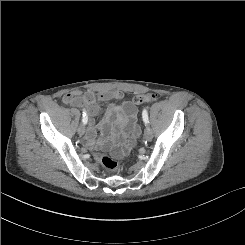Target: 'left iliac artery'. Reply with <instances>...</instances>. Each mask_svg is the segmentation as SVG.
Instances as JSON below:
<instances>
[{"mask_svg": "<svg viewBox=\"0 0 245 245\" xmlns=\"http://www.w3.org/2000/svg\"><path fill=\"white\" fill-rule=\"evenodd\" d=\"M142 118H143L144 124H145V125H148L149 120H148V112H147L146 109H144V110L142 111Z\"/></svg>", "mask_w": 245, "mask_h": 245, "instance_id": "left-iliac-artery-1", "label": "left iliac artery"}]
</instances>
